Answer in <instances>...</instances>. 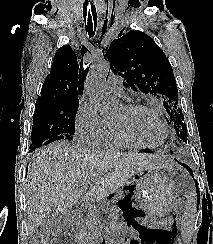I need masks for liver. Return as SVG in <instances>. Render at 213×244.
Here are the masks:
<instances>
[{"label": "liver", "mask_w": 213, "mask_h": 244, "mask_svg": "<svg viewBox=\"0 0 213 244\" xmlns=\"http://www.w3.org/2000/svg\"><path fill=\"white\" fill-rule=\"evenodd\" d=\"M168 165V159L159 154L92 151L65 141L54 142L35 154L28 170L29 231L34 233L49 211L68 213L82 196L80 185H91L85 202H100L134 174Z\"/></svg>", "instance_id": "1"}]
</instances>
